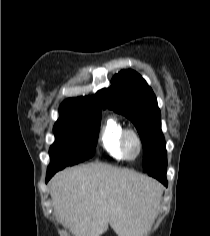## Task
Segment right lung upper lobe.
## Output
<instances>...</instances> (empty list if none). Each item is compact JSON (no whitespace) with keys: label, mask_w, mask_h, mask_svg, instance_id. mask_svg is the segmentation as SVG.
I'll list each match as a JSON object with an SVG mask.
<instances>
[{"label":"right lung upper lobe","mask_w":210,"mask_h":236,"mask_svg":"<svg viewBox=\"0 0 210 236\" xmlns=\"http://www.w3.org/2000/svg\"><path fill=\"white\" fill-rule=\"evenodd\" d=\"M103 90L92 97L69 98L60 105V111L83 113L88 111H101Z\"/></svg>","instance_id":"right-lung-upper-lobe-1"}]
</instances>
